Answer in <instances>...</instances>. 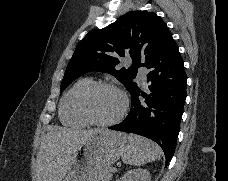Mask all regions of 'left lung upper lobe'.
<instances>
[{
	"instance_id": "left-lung-upper-lobe-1",
	"label": "left lung upper lobe",
	"mask_w": 228,
	"mask_h": 181,
	"mask_svg": "<svg viewBox=\"0 0 228 181\" xmlns=\"http://www.w3.org/2000/svg\"><path fill=\"white\" fill-rule=\"evenodd\" d=\"M170 37L161 18L147 11L128 12L103 29L91 30L77 45L60 91L89 71L109 73L130 91L137 84V68L144 66ZM118 56H130L134 64L120 68Z\"/></svg>"
}]
</instances>
